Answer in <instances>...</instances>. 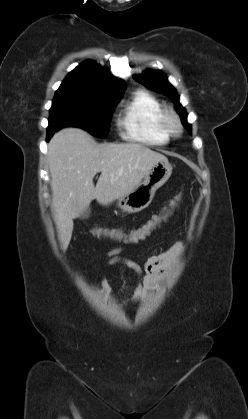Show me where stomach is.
Here are the masks:
<instances>
[{
    "label": "stomach",
    "instance_id": "1",
    "mask_svg": "<svg viewBox=\"0 0 248 419\" xmlns=\"http://www.w3.org/2000/svg\"><path fill=\"white\" fill-rule=\"evenodd\" d=\"M172 166L168 160L156 162L144 180L117 200V206L126 213L140 212L151 203L154 194L170 177Z\"/></svg>",
    "mask_w": 248,
    "mask_h": 419
}]
</instances>
